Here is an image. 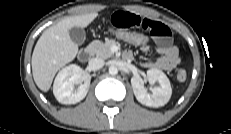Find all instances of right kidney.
I'll list each match as a JSON object with an SVG mask.
<instances>
[{"label": "right kidney", "instance_id": "ca27d5eb", "mask_svg": "<svg viewBox=\"0 0 231 134\" xmlns=\"http://www.w3.org/2000/svg\"><path fill=\"white\" fill-rule=\"evenodd\" d=\"M91 76L75 64L64 67L57 74L53 93L61 104H76L83 100L88 93ZM77 90H74L76 85Z\"/></svg>", "mask_w": 231, "mask_h": 134}]
</instances>
